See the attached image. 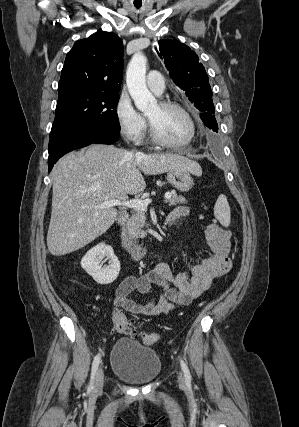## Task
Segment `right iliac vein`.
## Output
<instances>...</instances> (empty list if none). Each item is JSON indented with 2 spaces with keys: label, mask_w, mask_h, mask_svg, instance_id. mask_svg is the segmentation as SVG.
<instances>
[{
  "label": "right iliac vein",
  "mask_w": 299,
  "mask_h": 427,
  "mask_svg": "<svg viewBox=\"0 0 299 427\" xmlns=\"http://www.w3.org/2000/svg\"><path fill=\"white\" fill-rule=\"evenodd\" d=\"M103 385H104V371H103V368L100 367L97 371L95 384H94V391L95 392L101 391L103 388Z\"/></svg>",
  "instance_id": "right-iliac-vein-1"
}]
</instances>
